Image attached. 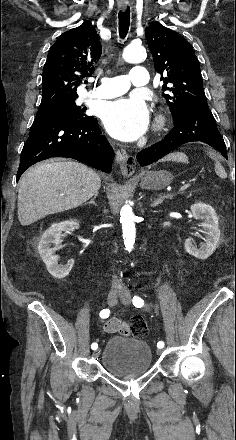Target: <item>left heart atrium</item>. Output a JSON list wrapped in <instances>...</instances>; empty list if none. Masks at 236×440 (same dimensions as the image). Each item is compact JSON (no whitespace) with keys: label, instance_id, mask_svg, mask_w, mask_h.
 I'll use <instances>...</instances> for the list:
<instances>
[{"label":"left heart atrium","instance_id":"left-heart-atrium-1","mask_svg":"<svg viewBox=\"0 0 236 440\" xmlns=\"http://www.w3.org/2000/svg\"><path fill=\"white\" fill-rule=\"evenodd\" d=\"M103 124L107 132L122 141L138 139L147 129L148 108L142 98H121L106 105Z\"/></svg>","mask_w":236,"mask_h":440}]
</instances>
